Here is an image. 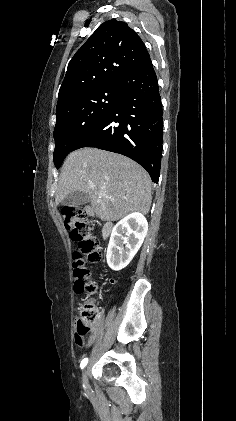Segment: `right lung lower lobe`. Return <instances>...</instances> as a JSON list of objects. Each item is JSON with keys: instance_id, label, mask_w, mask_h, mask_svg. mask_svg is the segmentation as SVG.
Instances as JSON below:
<instances>
[{"instance_id": "1", "label": "right lung lower lobe", "mask_w": 236, "mask_h": 421, "mask_svg": "<svg viewBox=\"0 0 236 421\" xmlns=\"http://www.w3.org/2000/svg\"><path fill=\"white\" fill-rule=\"evenodd\" d=\"M119 100L110 113L81 138L82 147L125 155L147 170L158 183L163 143V112L151 59L118 82ZM73 150V151H74Z\"/></svg>"}]
</instances>
